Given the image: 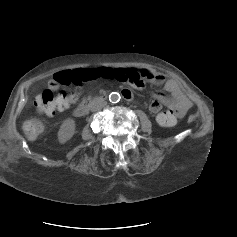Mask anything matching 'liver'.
I'll list each match as a JSON object with an SVG mask.
<instances>
[{"instance_id": "1", "label": "liver", "mask_w": 237, "mask_h": 237, "mask_svg": "<svg viewBox=\"0 0 237 237\" xmlns=\"http://www.w3.org/2000/svg\"><path fill=\"white\" fill-rule=\"evenodd\" d=\"M28 139H29L30 141H33V140L36 139V137H28Z\"/></svg>"}]
</instances>
